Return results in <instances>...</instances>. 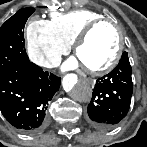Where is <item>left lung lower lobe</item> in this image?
Returning a JSON list of instances; mask_svg holds the SVG:
<instances>
[{"label":"left lung lower lobe","mask_w":147,"mask_h":147,"mask_svg":"<svg viewBox=\"0 0 147 147\" xmlns=\"http://www.w3.org/2000/svg\"><path fill=\"white\" fill-rule=\"evenodd\" d=\"M131 74L129 58L124 52L117 67L96 81L87 108V121L91 126L110 129L127 115L133 91Z\"/></svg>","instance_id":"obj_1"}]
</instances>
